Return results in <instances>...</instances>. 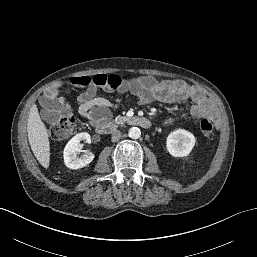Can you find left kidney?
Here are the masks:
<instances>
[{"instance_id":"1","label":"left kidney","mask_w":257,"mask_h":257,"mask_svg":"<svg viewBox=\"0 0 257 257\" xmlns=\"http://www.w3.org/2000/svg\"><path fill=\"white\" fill-rule=\"evenodd\" d=\"M196 139L194 135L184 129L171 132L166 141L167 151L174 157H185L190 154Z\"/></svg>"}]
</instances>
